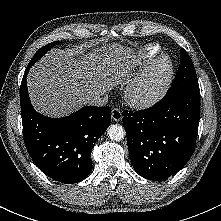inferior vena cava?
<instances>
[{
  "instance_id": "obj_1",
  "label": "inferior vena cava",
  "mask_w": 221,
  "mask_h": 221,
  "mask_svg": "<svg viewBox=\"0 0 221 221\" xmlns=\"http://www.w3.org/2000/svg\"><path fill=\"white\" fill-rule=\"evenodd\" d=\"M85 102L93 106H103L108 102V95L106 93L90 95L86 98Z\"/></svg>"
}]
</instances>
